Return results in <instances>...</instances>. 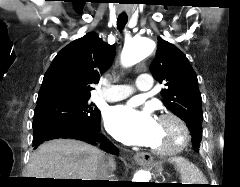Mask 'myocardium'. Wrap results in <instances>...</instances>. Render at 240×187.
I'll list each match as a JSON object with an SVG mask.
<instances>
[{"mask_svg": "<svg viewBox=\"0 0 240 187\" xmlns=\"http://www.w3.org/2000/svg\"><path fill=\"white\" fill-rule=\"evenodd\" d=\"M159 122L170 121L178 131V140L175 144L164 148H150V152L158 156H170L186 149L191 141L190 130L185 121L176 113L166 112L159 116Z\"/></svg>", "mask_w": 240, "mask_h": 187, "instance_id": "1", "label": "myocardium"}]
</instances>
